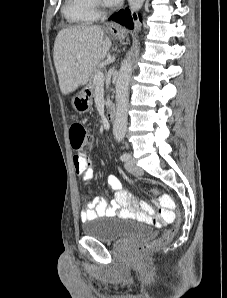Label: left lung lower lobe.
Instances as JSON below:
<instances>
[{
	"label": "left lung lower lobe",
	"instance_id": "obj_1",
	"mask_svg": "<svg viewBox=\"0 0 227 298\" xmlns=\"http://www.w3.org/2000/svg\"><path fill=\"white\" fill-rule=\"evenodd\" d=\"M110 19L120 23L121 25H123L129 29H133L132 17L130 15V11L128 9L120 10L118 13L111 16ZM134 19H137L136 15H134Z\"/></svg>",
	"mask_w": 227,
	"mask_h": 298
}]
</instances>
